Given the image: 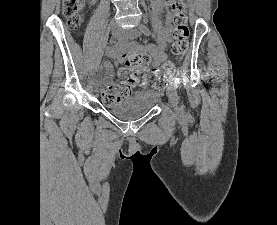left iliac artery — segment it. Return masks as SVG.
Masks as SVG:
<instances>
[{"mask_svg": "<svg viewBox=\"0 0 277 225\" xmlns=\"http://www.w3.org/2000/svg\"><path fill=\"white\" fill-rule=\"evenodd\" d=\"M139 29L144 35H146V36L151 35V32H150L149 28L145 24H140ZM173 81H174V83L176 84L177 87H180V78L179 77L175 76L173 78Z\"/></svg>", "mask_w": 277, "mask_h": 225, "instance_id": "obj_1", "label": "left iliac artery"}]
</instances>
